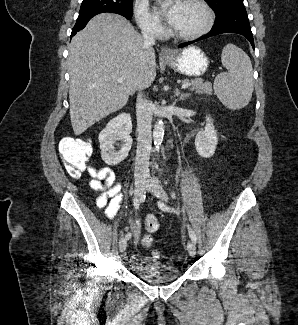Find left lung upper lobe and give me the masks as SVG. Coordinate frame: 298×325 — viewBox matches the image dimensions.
<instances>
[{
  "label": "left lung upper lobe",
  "mask_w": 298,
  "mask_h": 325,
  "mask_svg": "<svg viewBox=\"0 0 298 325\" xmlns=\"http://www.w3.org/2000/svg\"><path fill=\"white\" fill-rule=\"evenodd\" d=\"M210 2L216 12V18H220L226 12L235 9L243 8V0H207Z\"/></svg>",
  "instance_id": "obj_1"
}]
</instances>
